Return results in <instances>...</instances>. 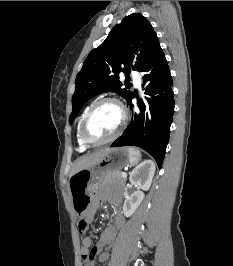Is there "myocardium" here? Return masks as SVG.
Returning a JSON list of instances; mask_svg holds the SVG:
<instances>
[{"label": "myocardium", "mask_w": 233, "mask_h": 266, "mask_svg": "<svg viewBox=\"0 0 233 266\" xmlns=\"http://www.w3.org/2000/svg\"><path fill=\"white\" fill-rule=\"evenodd\" d=\"M105 103H113L115 105H117L122 113V121L119 125V127L117 128V130L114 132L113 135H111L110 137L104 139V140H100V141H93L91 139L88 138L87 133H86V128H87V124L91 118V116L93 115V113L103 104ZM127 120H128V115H127V111L125 106L123 105V103L115 98V97H105L102 98L100 100H98L97 102H95L87 111V113L85 114L81 125H80V131H79V135L81 138V141L86 145V146H100V145H104L110 142H113L114 140H116L124 131L126 124H127Z\"/></svg>", "instance_id": "myocardium-1"}]
</instances>
